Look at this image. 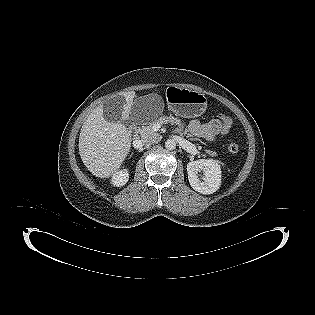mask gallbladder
Segmentation results:
<instances>
[{
  "mask_svg": "<svg viewBox=\"0 0 315 315\" xmlns=\"http://www.w3.org/2000/svg\"><path fill=\"white\" fill-rule=\"evenodd\" d=\"M124 104V98L120 96L105 102L103 104V117L109 122H124Z\"/></svg>",
  "mask_w": 315,
  "mask_h": 315,
  "instance_id": "gallbladder-1",
  "label": "gallbladder"
}]
</instances>
